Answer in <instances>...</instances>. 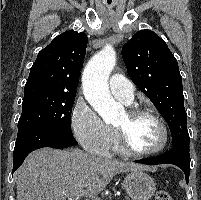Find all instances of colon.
<instances>
[{
	"label": "colon",
	"mask_w": 201,
	"mask_h": 200,
	"mask_svg": "<svg viewBox=\"0 0 201 200\" xmlns=\"http://www.w3.org/2000/svg\"><path fill=\"white\" fill-rule=\"evenodd\" d=\"M155 200H172V197L167 191L160 190L155 194Z\"/></svg>",
	"instance_id": "5ec220e1"
}]
</instances>
